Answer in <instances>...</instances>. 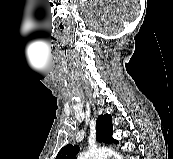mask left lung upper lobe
<instances>
[{"mask_svg": "<svg viewBox=\"0 0 173 159\" xmlns=\"http://www.w3.org/2000/svg\"><path fill=\"white\" fill-rule=\"evenodd\" d=\"M112 117L111 115L105 114L101 115L97 118L96 121V139L97 141L104 142V143H115L117 144L118 141L113 139V125L111 124ZM79 151V146L77 145H66L64 146L56 156V159H76V154Z\"/></svg>", "mask_w": 173, "mask_h": 159, "instance_id": "1", "label": "left lung upper lobe"}]
</instances>
